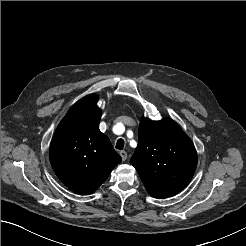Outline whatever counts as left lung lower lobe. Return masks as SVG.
Returning <instances> with one entry per match:
<instances>
[{"instance_id":"0a47b994","label":"left lung lower lobe","mask_w":246,"mask_h":246,"mask_svg":"<svg viewBox=\"0 0 246 246\" xmlns=\"http://www.w3.org/2000/svg\"><path fill=\"white\" fill-rule=\"evenodd\" d=\"M151 196H153L155 198H160V199L165 198V197H161V196H157V195H151Z\"/></svg>"}]
</instances>
